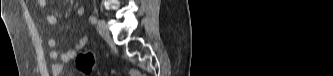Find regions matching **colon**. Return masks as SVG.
Instances as JSON below:
<instances>
[{"instance_id": "1", "label": "colon", "mask_w": 333, "mask_h": 76, "mask_svg": "<svg viewBox=\"0 0 333 76\" xmlns=\"http://www.w3.org/2000/svg\"><path fill=\"white\" fill-rule=\"evenodd\" d=\"M76 67L84 75H89L95 67V58L92 53H82L76 58ZM130 76H140L141 74L135 70H130Z\"/></svg>"}]
</instances>
